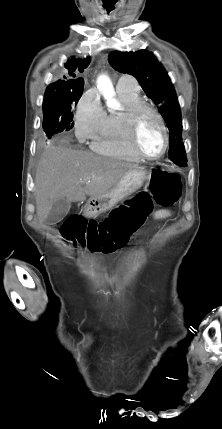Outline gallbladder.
Instances as JSON below:
<instances>
[{"instance_id": "bac80fb5", "label": "gallbladder", "mask_w": 222, "mask_h": 429, "mask_svg": "<svg viewBox=\"0 0 222 429\" xmlns=\"http://www.w3.org/2000/svg\"><path fill=\"white\" fill-rule=\"evenodd\" d=\"M70 207L71 202L67 198L55 201L47 217L48 223L56 224L60 222L67 215Z\"/></svg>"}]
</instances>
